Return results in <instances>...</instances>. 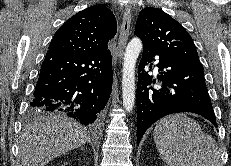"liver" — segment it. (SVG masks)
I'll return each mask as SVG.
<instances>
[{
  "label": "liver",
  "instance_id": "liver-1",
  "mask_svg": "<svg viewBox=\"0 0 231 166\" xmlns=\"http://www.w3.org/2000/svg\"><path fill=\"white\" fill-rule=\"evenodd\" d=\"M88 139L87 131L64 114L41 117L22 131L20 166H45L56 157L84 145Z\"/></svg>",
  "mask_w": 231,
  "mask_h": 166
}]
</instances>
